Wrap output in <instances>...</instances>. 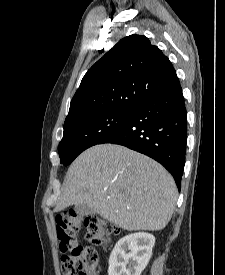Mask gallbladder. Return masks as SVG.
<instances>
[{"instance_id":"1","label":"gallbladder","mask_w":225,"mask_h":275,"mask_svg":"<svg viewBox=\"0 0 225 275\" xmlns=\"http://www.w3.org/2000/svg\"><path fill=\"white\" fill-rule=\"evenodd\" d=\"M74 210L80 216H84V215H88V214L93 213V210L90 209L85 204H76L75 207H74Z\"/></svg>"}]
</instances>
